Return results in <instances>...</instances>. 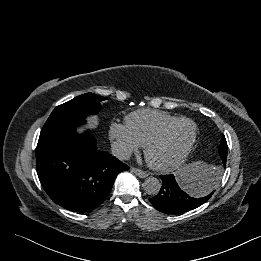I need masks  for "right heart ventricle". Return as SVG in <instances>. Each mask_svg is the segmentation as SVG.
<instances>
[{
  "instance_id": "e07e8e85",
  "label": "right heart ventricle",
  "mask_w": 261,
  "mask_h": 261,
  "mask_svg": "<svg viewBox=\"0 0 261 261\" xmlns=\"http://www.w3.org/2000/svg\"><path fill=\"white\" fill-rule=\"evenodd\" d=\"M177 117L163 111L140 109L125 117V125L137 140L144 146L146 141L164 124Z\"/></svg>"
}]
</instances>
